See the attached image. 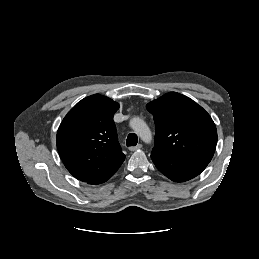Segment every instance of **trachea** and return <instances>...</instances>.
Returning a JSON list of instances; mask_svg holds the SVG:
<instances>
[{
    "instance_id": "obj_1",
    "label": "trachea",
    "mask_w": 259,
    "mask_h": 259,
    "mask_svg": "<svg viewBox=\"0 0 259 259\" xmlns=\"http://www.w3.org/2000/svg\"><path fill=\"white\" fill-rule=\"evenodd\" d=\"M137 142H138L137 135L135 133H130L126 140L127 146H136Z\"/></svg>"
}]
</instances>
